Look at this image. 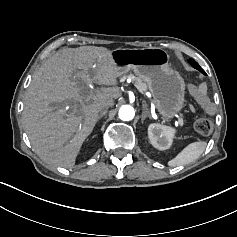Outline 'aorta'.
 I'll return each mask as SVG.
<instances>
[{"mask_svg":"<svg viewBox=\"0 0 237 237\" xmlns=\"http://www.w3.org/2000/svg\"><path fill=\"white\" fill-rule=\"evenodd\" d=\"M118 116L122 121H131L135 116V112L131 106L123 105L119 109Z\"/></svg>","mask_w":237,"mask_h":237,"instance_id":"762f6f07","label":"aorta"}]
</instances>
